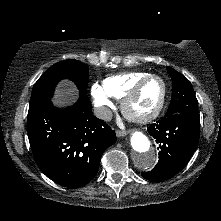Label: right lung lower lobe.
I'll return each instance as SVG.
<instances>
[{"instance_id": "obj_1", "label": "right lung lower lobe", "mask_w": 221, "mask_h": 221, "mask_svg": "<svg viewBox=\"0 0 221 221\" xmlns=\"http://www.w3.org/2000/svg\"><path fill=\"white\" fill-rule=\"evenodd\" d=\"M28 137L40 170L67 188H80L97 174L103 152L116 142L115 132L92 113L85 93L65 109L51 100L28 117Z\"/></svg>"}]
</instances>
